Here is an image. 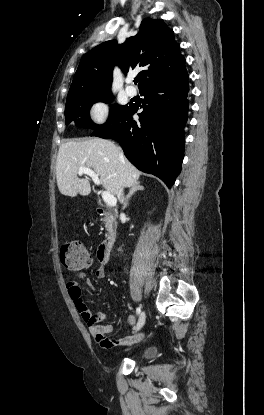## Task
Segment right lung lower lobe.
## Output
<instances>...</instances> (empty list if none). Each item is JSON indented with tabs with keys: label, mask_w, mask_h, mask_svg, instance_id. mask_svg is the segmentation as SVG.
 <instances>
[{
	"label": "right lung lower lobe",
	"mask_w": 264,
	"mask_h": 415,
	"mask_svg": "<svg viewBox=\"0 0 264 415\" xmlns=\"http://www.w3.org/2000/svg\"><path fill=\"white\" fill-rule=\"evenodd\" d=\"M188 73L146 85L139 120L127 106L110 123L94 129L91 136L119 141L128 160L139 170L159 177L171 187L181 172L184 158V126L189 102Z\"/></svg>",
	"instance_id": "right-lung-lower-lobe-1"
}]
</instances>
